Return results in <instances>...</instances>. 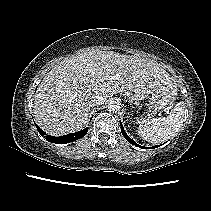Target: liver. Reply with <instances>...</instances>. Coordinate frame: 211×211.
<instances>
[{
    "label": "liver",
    "mask_w": 211,
    "mask_h": 211,
    "mask_svg": "<svg viewBox=\"0 0 211 211\" xmlns=\"http://www.w3.org/2000/svg\"><path fill=\"white\" fill-rule=\"evenodd\" d=\"M119 74V80L110 79ZM152 60L114 51H89L63 60L51 69L36 90L33 113L39 126L51 135L80 130L89 117V101L100 95L153 89L172 83Z\"/></svg>",
    "instance_id": "6515ba94"
}]
</instances>
